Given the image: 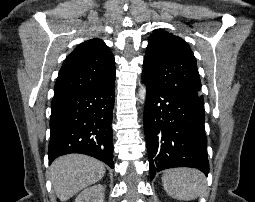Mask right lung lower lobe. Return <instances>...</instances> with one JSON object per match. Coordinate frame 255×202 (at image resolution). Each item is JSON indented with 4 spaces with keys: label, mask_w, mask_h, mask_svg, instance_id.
Wrapping results in <instances>:
<instances>
[{
    "label": "right lung lower lobe",
    "mask_w": 255,
    "mask_h": 202,
    "mask_svg": "<svg viewBox=\"0 0 255 202\" xmlns=\"http://www.w3.org/2000/svg\"><path fill=\"white\" fill-rule=\"evenodd\" d=\"M114 81L102 87L54 96L49 163L64 154L81 153L114 167L111 127Z\"/></svg>",
    "instance_id": "98d812e1"
}]
</instances>
